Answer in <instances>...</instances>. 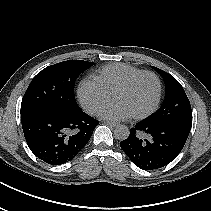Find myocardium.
<instances>
[{
  "label": "myocardium",
  "instance_id": "f54148a6",
  "mask_svg": "<svg viewBox=\"0 0 211 211\" xmlns=\"http://www.w3.org/2000/svg\"><path fill=\"white\" fill-rule=\"evenodd\" d=\"M145 76H151L155 79V81L157 83V96H156V100H155L154 104L152 105V107L150 109H148L147 111H145L143 113L132 115V118L135 120L145 119V118L151 116L158 109L160 102H161V98H162V82H161L160 77L154 72L144 71V72L137 74V75L131 77L130 79H128L126 82H124L122 85H120L117 89H115V91L112 93V98H113L115 95L129 89L135 82H137L139 79H141Z\"/></svg>",
  "mask_w": 211,
  "mask_h": 211
}]
</instances>
